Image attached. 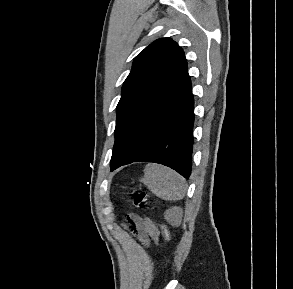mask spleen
<instances>
[{
    "mask_svg": "<svg viewBox=\"0 0 293 289\" xmlns=\"http://www.w3.org/2000/svg\"><path fill=\"white\" fill-rule=\"evenodd\" d=\"M140 181L157 197L177 201L186 194L185 180L174 170L158 164H148Z\"/></svg>",
    "mask_w": 293,
    "mask_h": 289,
    "instance_id": "3e777b00",
    "label": "spleen"
}]
</instances>
